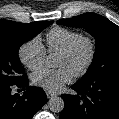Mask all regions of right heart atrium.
I'll list each match as a JSON object with an SVG mask.
<instances>
[{"label":"right heart atrium","mask_w":119,"mask_h":119,"mask_svg":"<svg viewBox=\"0 0 119 119\" xmlns=\"http://www.w3.org/2000/svg\"><path fill=\"white\" fill-rule=\"evenodd\" d=\"M18 57L25 67L34 71L44 65L46 49L39 37H33L21 44Z\"/></svg>","instance_id":"d8ad5b80"}]
</instances>
